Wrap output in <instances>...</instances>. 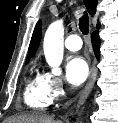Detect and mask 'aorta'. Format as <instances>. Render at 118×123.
<instances>
[{"instance_id":"aorta-1","label":"aorta","mask_w":118,"mask_h":123,"mask_svg":"<svg viewBox=\"0 0 118 123\" xmlns=\"http://www.w3.org/2000/svg\"><path fill=\"white\" fill-rule=\"evenodd\" d=\"M64 25L61 20L52 23L44 36L43 49L48 65L54 75H61L60 64L64 52Z\"/></svg>"}]
</instances>
